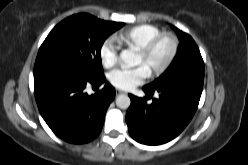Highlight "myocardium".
I'll use <instances>...</instances> for the list:
<instances>
[{
    "instance_id": "myocardium-1",
    "label": "myocardium",
    "mask_w": 248,
    "mask_h": 165,
    "mask_svg": "<svg viewBox=\"0 0 248 165\" xmlns=\"http://www.w3.org/2000/svg\"><path fill=\"white\" fill-rule=\"evenodd\" d=\"M163 42L168 43L169 51L165 59L158 65L154 66L151 70L153 76L161 75L170 67V65L173 63L174 59L177 56L179 42L174 35L169 33H162L161 35L151 39L145 46L140 48V53L144 57L149 58L154 53L156 48Z\"/></svg>"
}]
</instances>
